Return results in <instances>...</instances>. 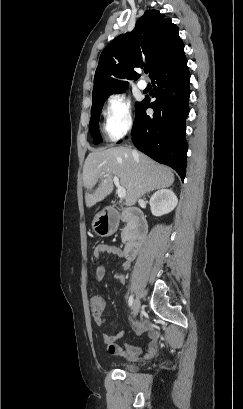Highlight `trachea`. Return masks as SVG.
<instances>
[{"instance_id":"3493384b","label":"trachea","mask_w":243,"mask_h":409,"mask_svg":"<svg viewBox=\"0 0 243 409\" xmlns=\"http://www.w3.org/2000/svg\"><path fill=\"white\" fill-rule=\"evenodd\" d=\"M144 72L147 74L149 72V68H144Z\"/></svg>"}]
</instances>
